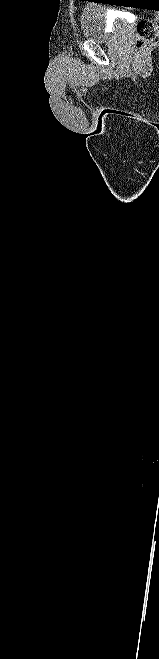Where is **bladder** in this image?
<instances>
[{"label": "bladder", "mask_w": 159, "mask_h": 659, "mask_svg": "<svg viewBox=\"0 0 159 659\" xmlns=\"http://www.w3.org/2000/svg\"><path fill=\"white\" fill-rule=\"evenodd\" d=\"M106 9L87 5L83 8L80 18V26L83 37L93 41H105L110 35L121 32L122 23H113L112 32L106 30Z\"/></svg>", "instance_id": "1"}]
</instances>
